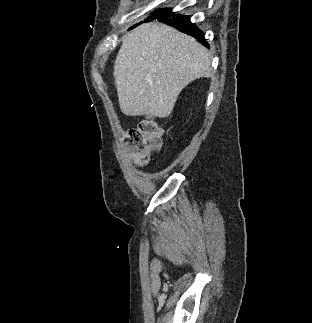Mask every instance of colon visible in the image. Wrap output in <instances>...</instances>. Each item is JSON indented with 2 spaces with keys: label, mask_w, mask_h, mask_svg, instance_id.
<instances>
[{
  "label": "colon",
  "mask_w": 312,
  "mask_h": 323,
  "mask_svg": "<svg viewBox=\"0 0 312 323\" xmlns=\"http://www.w3.org/2000/svg\"><path fill=\"white\" fill-rule=\"evenodd\" d=\"M128 140L136 149L135 161H130V168H139L148 160V153L161 146L162 132L155 122L143 119L136 128L129 130Z\"/></svg>",
  "instance_id": "1"
}]
</instances>
